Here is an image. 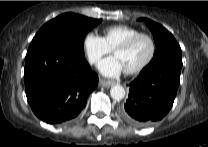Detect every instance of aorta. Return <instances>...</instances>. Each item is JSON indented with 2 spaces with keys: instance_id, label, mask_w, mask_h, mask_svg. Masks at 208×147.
I'll return each mask as SVG.
<instances>
[{
  "instance_id": "obj_1",
  "label": "aorta",
  "mask_w": 208,
  "mask_h": 147,
  "mask_svg": "<svg viewBox=\"0 0 208 147\" xmlns=\"http://www.w3.org/2000/svg\"><path fill=\"white\" fill-rule=\"evenodd\" d=\"M110 95L114 100H121L125 97V89L121 85H115L111 88Z\"/></svg>"
}]
</instances>
